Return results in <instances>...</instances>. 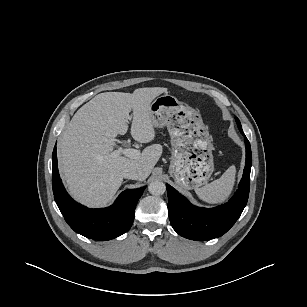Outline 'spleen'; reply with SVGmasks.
Instances as JSON below:
<instances>
[{
	"label": "spleen",
	"mask_w": 307,
	"mask_h": 307,
	"mask_svg": "<svg viewBox=\"0 0 307 307\" xmlns=\"http://www.w3.org/2000/svg\"><path fill=\"white\" fill-rule=\"evenodd\" d=\"M236 168L230 166L217 180L195 189L197 196L209 204L223 203L230 196L235 183Z\"/></svg>",
	"instance_id": "3e777b00"
}]
</instances>
